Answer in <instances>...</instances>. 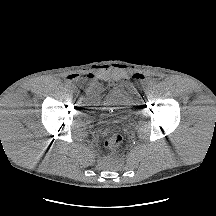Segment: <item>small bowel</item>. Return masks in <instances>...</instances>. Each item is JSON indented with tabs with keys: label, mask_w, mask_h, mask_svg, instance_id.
Wrapping results in <instances>:
<instances>
[{
	"label": "small bowel",
	"mask_w": 216,
	"mask_h": 216,
	"mask_svg": "<svg viewBox=\"0 0 216 216\" xmlns=\"http://www.w3.org/2000/svg\"><path fill=\"white\" fill-rule=\"evenodd\" d=\"M132 77L135 80H142L144 78L143 74H141V73H135ZM67 79L69 82H74L78 79V75H70L67 77ZM99 87H100V84L98 82H96V81L91 82L90 90L92 91V95L94 94L95 90Z\"/></svg>",
	"instance_id": "c3829d8e"
}]
</instances>
